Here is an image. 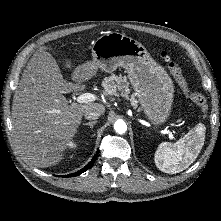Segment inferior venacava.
Wrapping results in <instances>:
<instances>
[{
  "instance_id": "obj_1",
  "label": "inferior vena cava",
  "mask_w": 221,
  "mask_h": 221,
  "mask_svg": "<svg viewBox=\"0 0 221 221\" xmlns=\"http://www.w3.org/2000/svg\"><path fill=\"white\" fill-rule=\"evenodd\" d=\"M84 116L88 120H95L98 119L101 116V112L99 110H88L84 113Z\"/></svg>"
}]
</instances>
